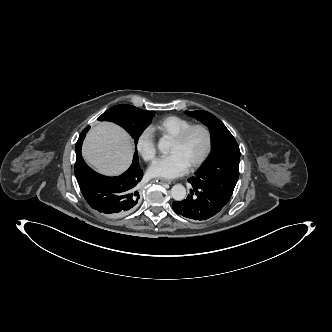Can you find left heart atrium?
Here are the masks:
<instances>
[{
    "mask_svg": "<svg viewBox=\"0 0 332 332\" xmlns=\"http://www.w3.org/2000/svg\"><path fill=\"white\" fill-rule=\"evenodd\" d=\"M189 165L179 154L158 158L148 169L151 177L173 179L187 172Z\"/></svg>",
    "mask_w": 332,
    "mask_h": 332,
    "instance_id": "1",
    "label": "left heart atrium"
}]
</instances>
